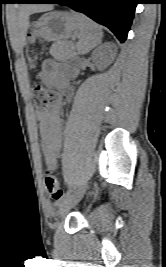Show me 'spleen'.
<instances>
[{
	"instance_id": "3e777b00",
	"label": "spleen",
	"mask_w": 166,
	"mask_h": 267,
	"mask_svg": "<svg viewBox=\"0 0 166 267\" xmlns=\"http://www.w3.org/2000/svg\"><path fill=\"white\" fill-rule=\"evenodd\" d=\"M79 21V41L77 51L86 54L101 43L103 32L101 27L94 21L82 14L73 13Z\"/></svg>"
}]
</instances>
